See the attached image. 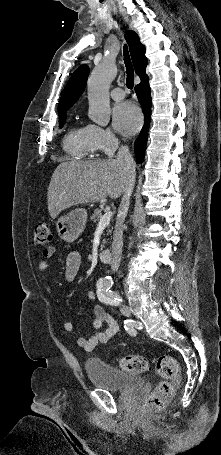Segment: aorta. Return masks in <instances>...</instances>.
Returning <instances> with one entry per match:
<instances>
[{"instance_id":"aorta-1","label":"aorta","mask_w":221,"mask_h":455,"mask_svg":"<svg viewBox=\"0 0 221 455\" xmlns=\"http://www.w3.org/2000/svg\"><path fill=\"white\" fill-rule=\"evenodd\" d=\"M116 73L115 64L106 60L92 71L88 80V116L101 126L107 125L110 121L109 86Z\"/></svg>"}]
</instances>
